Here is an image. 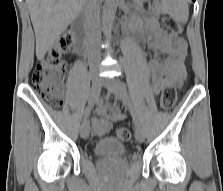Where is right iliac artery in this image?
Listing matches in <instances>:
<instances>
[{
	"instance_id": "1",
	"label": "right iliac artery",
	"mask_w": 223,
	"mask_h": 191,
	"mask_svg": "<svg viewBox=\"0 0 223 191\" xmlns=\"http://www.w3.org/2000/svg\"><path fill=\"white\" fill-rule=\"evenodd\" d=\"M93 106H94V103H89V104L86 106V108H85V110H84V115H85V117H87V116L89 115V113H90V111L92 110Z\"/></svg>"
}]
</instances>
